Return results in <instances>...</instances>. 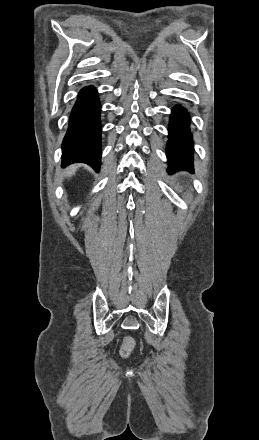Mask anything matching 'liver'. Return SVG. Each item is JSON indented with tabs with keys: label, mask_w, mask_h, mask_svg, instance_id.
<instances>
[{
	"label": "liver",
	"mask_w": 259,
	"mask_h": 440,
	"mask_svg": "<svg viewBox=\"0 0 259 440\" xmlns=\"http://www.w3.org/2000/svg\"><path fill=\"white\" fill-rule=\"evenodd\" d=\"M79 166H80V165H72V166H70L69 169L66 171V175H67L68 177H71L72 175H74V173L76 172V170H77V168H78Z\"/></svg>",
	"instance_id": "obj_1"
}]
</instances>
